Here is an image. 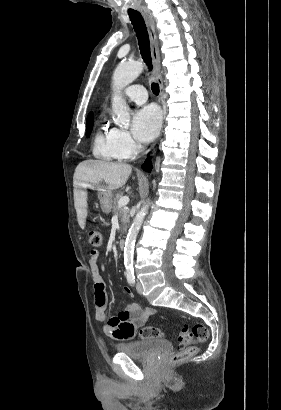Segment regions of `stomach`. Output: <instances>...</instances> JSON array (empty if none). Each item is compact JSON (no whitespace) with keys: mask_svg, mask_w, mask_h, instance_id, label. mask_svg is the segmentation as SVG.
Instances as JSON below:
<instances>
[{"mask_svg":"<svg viewBox=\"0 0 281 410\" xmlns=\"http://www.w3.org/2000/svg\"><path fill=\"white\" fill-rule=\"evenodd\" d=\"M97 187L98 189V199L100 202V206L105 213H110L113 206V194L111 191L107 190L104 186H92Z\"/></svg>","mask_w":281,"mask_h":410,"instance_id":"0dacf381","label":"stomach"}]
</instances>
